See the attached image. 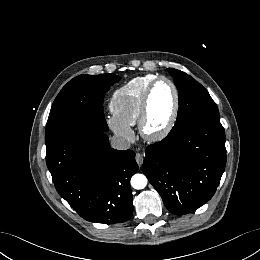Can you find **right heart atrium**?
Listing matches in <instances>:
<instances>
[{
  "label": "right heart atrium",
  "mask_w": 260,
  "mask_h": 260,
  "mask_svg": "<svg viewBox=\"0 0 260 260\" xmlns=\"http://www.w3.org/2000/svg\"><path fill=\"white\" fill-rule=\"evenodd\" d=\"M107 122L109 127L113 130V132L120 136L121 138H124L126 140H130L133 137V131L130 128V126L124 124L119 119H117L114 115L109 116L107 118Z\"/></svg>",
  "instance_id": "d8ad5b80"
}]
</instances>
